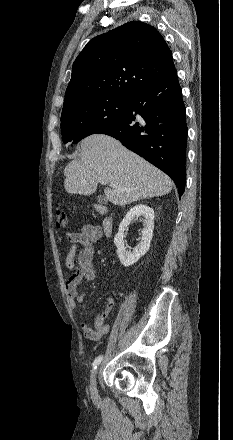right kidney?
<instances>
[{"label":"right kidney","instance_id":"1","mask_svg":"<svg viewBox=\"0 0 233 440\" xmlns=\"http://www.w3.org/2000/svg\"><path fill=\"white\" fill-rule=\"evenodd\" d=\"M141 216L144 217V228L141 231V241L136 245L133 251H128L124 245V231L135 219V217L140 218ZM153 229L154 210L151 207L145 204H138L130 209V211L126 214V216L120 223L119 231L114 237V243L117 247V255L123 266L129 267L133 265L147 253L153 237Z\"/></svg>","mask_w":233,"mask_h":440}]
</instances>
